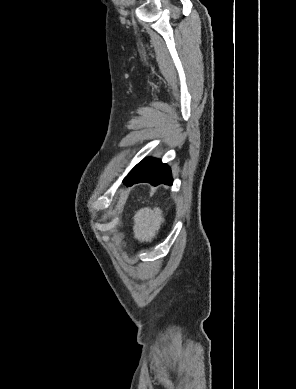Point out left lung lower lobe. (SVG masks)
<instances>
[{
	"label": "left lung lower lobe",
	"mask_w": 296,
	"mask_h": 389,
	"mask_svg": "<svg viewBox=\"0 0 296 389\" xmlns=\"http://www.w3.org/2000/svg\"><path fill=\"white\" fill-rule=\"evenodd\" d=\"M123 182L128 186L140 182L157 186L162 183L172 185L173 179L171 170L166 164L158 159L145 158L129 172Z\"/></svg>",
	"instance_id": "left-lung-lower-lobe-1"
}]
</instances>
